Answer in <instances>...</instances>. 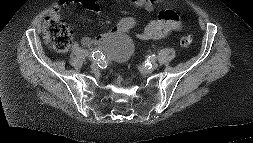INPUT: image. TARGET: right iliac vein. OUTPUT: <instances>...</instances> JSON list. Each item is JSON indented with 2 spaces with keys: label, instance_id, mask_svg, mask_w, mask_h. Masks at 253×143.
Returning <instances> with one entry per match:
<instances>
[{
  "label": "right iliac vein",
  "instance_id": "right-iliac-vein-1",
  "mask_svg": "<svg viewBox=\"0 0 253 143\" xmlns=\"http://www.w3.org/2000/svg\"><path fill=\"white\" fill-rule=\"evenodd\" d=\"M96 68H97V65H96L95 62H93V63L91 64V69L95 70Z\"/></svg>",
  "mask_w": 253,
  "mask_h": 143
}]
</instances>
